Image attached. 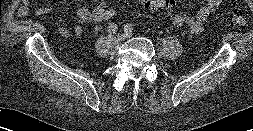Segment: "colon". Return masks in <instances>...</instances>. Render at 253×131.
Returning a JSON list of instances; mask_svg holds the SVG:
<instances>
[{
	"mask_svg": "<svg viewBox=\"0 0 253 131\" xmlns=\"http://www.w3.org/2000/svg\"><path fill=\"white\" fill-rule=\"evenodd\" d=\"M145 7L150 11L169 9L175 4L174 0H143ZM117 17V11L107 7L102 14L103 22L114 21ZM231 23L234 26H244L246 24V13L243 10L236 9L231 14Z\"/></svg>",
	"mask_w": 253,
	"mask_h": 131,
	"instance_id": "colon-1",
	"label": "colon"
}]
</instances>
